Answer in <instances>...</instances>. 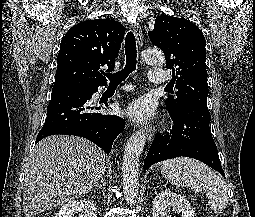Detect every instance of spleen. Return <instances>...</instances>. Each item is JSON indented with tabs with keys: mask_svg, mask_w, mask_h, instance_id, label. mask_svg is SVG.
Returning <instances> with one entry per match:
<instances>
[{
	"mask_svg": "<svg viewBox=\"0 0 255 217\" xmlns=\"http://www.w3.org/2000/svg\"><path fill=\"white\" fill-rule=\"evenodd\" d=\"M160 170L172 184L204 190L212 210L226 208L229 198L223 179L202 162L186 157L174 158L163 161Z\"/></svg>",
	"mask_w": 255,
	"mask_h": 217,
	"instance_id": "1",
	"label": "spleen"
}]
</instances>
